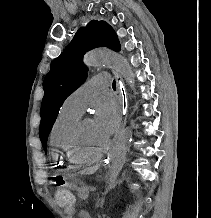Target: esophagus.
I'll return each instance as SVG.
<instances>
[{
  "mask_svg": "<svg viewBox=\"0 0 211 218\" xmlns=\"http://www.w3.org/2000/svg\"><path fill=\"white\" fill-rule=\"evenodd\" d=\"M116 80H117V89H118V94L120 96V99L123 103H130V94L128 93L127 89H124L123 86V77L116 75ZM121 114L122 117H129V112L128 109H130V104H122L121 105ZM119 123V128H124V123L127 122L126 118H121ZM113 141H118V136H113ZM114 159V153L112 148H107L106 153H105V159H102V172H109V167L110 164L112 163V160Z\"/></svg>",
  "mask_w": 211,
  "mask_h": 218,
  "instance_id": "esophagus-1",
  "label": "esophagus"
}]
</instances>
